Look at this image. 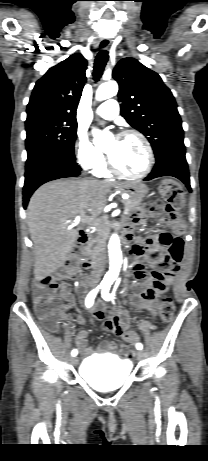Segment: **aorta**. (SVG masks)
Here are the masks:
<instances>
[{
    "mask_svg": "<svg viewBox=\"0 0 208 461\" xmlns=\"http://www.w3.org/2000/svg\"><path fill=\"white\" fill-rule=\"evenodd\" d=\"M118 84L115 81H110L101 84L96 91V100L104 101L117 95ZM93 143L96 148H103L109 133L99 129H92ZM109 253V271L105 275L107 282H113L117 279L122 266V252L120 248V239L117 234H113L108 243Z\"/></svg>",
    "mask_w": 208,
    "mask_h": 461,
    "instance_id": "aorta-1",
    "label": "aorta"
}]
</instances>
